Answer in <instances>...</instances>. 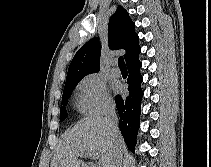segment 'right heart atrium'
<instances>
[{"instance_id": "obj_1", "label": "right heart atrium", "mask_w": 211, "mask_h": 167, "mask_svg": "<svg viewBox=\"0 0 211 167\" xmlns=\"http://www.w3.org/2000/svg\"><path fill=\"white\" fill-rule=\"evenodd\" d=\"M78 107L88 115H100L112 107L105 80L97 73L83 77L77 86Z\"/></svg>"}]
</instances>
